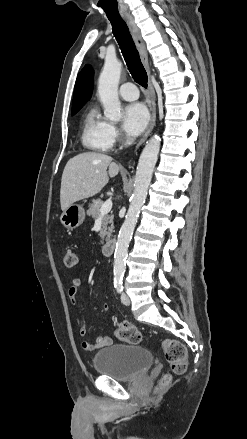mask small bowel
Here are the masks:
<instances>
[{"label": "small bowel", "instance_id": "c3829d8e", "mask_svg": "<svg viewBox=\"0 0 247 439\" xmlns=\"http://www.w3.org/2000/svg\"><path fill=\"white\" fill-rule=\"evenodd\" d=\"M82 282L80 279L75 278L71 281L68 295L70 298V301L73 305L76 304V295L79 292L81 288ZM109 310V306L107 304L103 305V311L107 312ZM81 337H86L88 334L87 326L84 317L81 319L80 323V330H79ZM113 344V339L110 336L106 335H98L95 342L90 341H83L82 347L86 351H96L97 349L105 346H109Z\"/></svg>", "mask_w": 247, "mask_h": 439}]
</instances>
